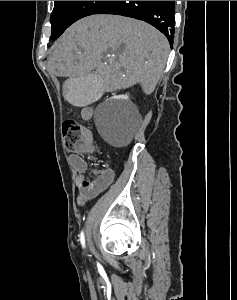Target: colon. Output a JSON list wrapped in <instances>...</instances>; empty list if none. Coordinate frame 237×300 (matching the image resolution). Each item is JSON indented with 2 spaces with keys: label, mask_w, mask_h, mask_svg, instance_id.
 Wrapping results in <instances>:
<instances>
[{
  "label": "colon",
  "mask_w": 237,
  "mask_h": 300,
  "mask_svg": "<svg viewBox=\"0 0 237 300\" xmlns=\"http://www.w3.org/2000/svg\"><path fill=\"white\" fill-rule=\"evenodd\" d=\"M65 147L74 153H87L92 149L91 131L75 121H67L63 125Z\"/></svg>",
  "instance_id": "colon-1"
}]
</instances>
